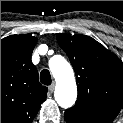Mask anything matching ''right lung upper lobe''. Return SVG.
<instances>
[{
	"label": "right lung upper lobe",
	"instance_id": "right-lung-upper-lobe-1",
	"mask_svg": "<svg viewBox=\"0 0 123 123\" xmlns=\"http://www.w3.org/2000/svg\"><path fill=\"white\" fill-rule=\"evenodd\" d=\"M36 43L30 35L1 39V123H31L46 99L31 61Z\"/></svg>",
	"mask_w": 123,
	"mask_h": 123
}]
</instances>
